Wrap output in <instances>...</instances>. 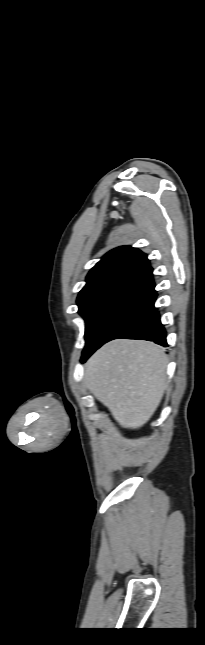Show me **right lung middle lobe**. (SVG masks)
<instances>
[{
    "label": "right lung middle lobe",
    "instance_id": "obj_1",
    "mask_svg": "<svg viewBox=\"0 0 205 645\" xmlns=\"http://www.w3.org/2000/svg\"><path fill=\"white\" fill-rule=\"evenodd\" d=\"M150 297L151 291L121 289L79 303V314L86 322L83 355L98 349L117 328L139 312Z\"/></svg>",
    "mask_w": 205,
    "mask_h": 645
}]
</instances>
